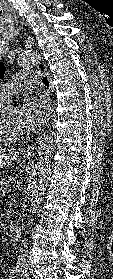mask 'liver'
Returning a JSON list of instances; mask_svg holds the SVG:
<instances>
[{
	"mask_svg": "<svg viewBox=\"0 0 113 279\" xmlns=\"http://www.w3.org/2000/svg\"><path fill=\"white\" fill-rule=\"evenodd\" d=\"M19 154L17 152H13L11 150L0 151V169H2L4 166H11L13 162L17 161Z\"/></svg>",
	"mask_w": 113,
	"mask_h": 279,
	"instance_id": "liver-1",
	"label": "liver"
}]
</instances>
